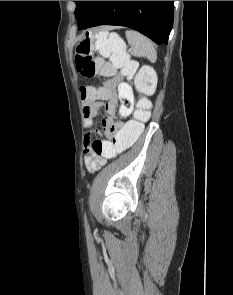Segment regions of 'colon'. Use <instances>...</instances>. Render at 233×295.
Masks as SVG:
<instances>
[{"label": "colon", "instance_id": "5ec220e1", "mask_svg": "<svg viewBox=\"0 0 233 295\" xmlns=\"http://www.w3.org/2000/svg\"><path fill=\"white\" fill-rule=\"evenodd\" d=\"M94 51H98L102 58L94 57ZM75 63L77 71L86 78L96 75L109 76L118 69L124 75L131 76L136 70V63L126 54L120 38L109 32L87 34L76 46ZM102 92V86L85 85L80 88L82 99L99 96ZM150 115V102L146 98H141L134 119L122 128L110 127L107 130L110 140L92 139V151L108 159L116 157L140 138Z\"/></svg>", "mask_w": 233, "mask_h": 295}]
</instances>
